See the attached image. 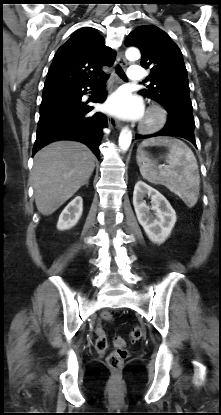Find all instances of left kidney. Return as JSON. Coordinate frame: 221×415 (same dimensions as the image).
I'll return each instance as SVG.
<instances>
[{"label": "left kidney", "instance_id": "left-kidney-1", "mask_svg": "<svg viewBox=\"0 0 221 415\" xmlns=\"http://www.w3.org/2000/svg\"><path fill=\"white\" fill-rule=\"evenodd\" d=\"M147 195L151 197V208L143 200ZM133 206L148 238L153 243H163L169 237L177 219L168 200L145 182L138 181L134 187Z\"/></svg>", "mask_w": 221, "mask_h": 415}]
</instances>
